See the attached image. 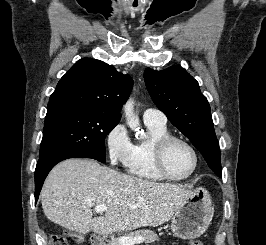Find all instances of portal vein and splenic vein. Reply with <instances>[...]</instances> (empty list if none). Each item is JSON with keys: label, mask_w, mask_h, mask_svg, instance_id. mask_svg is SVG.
<instances>
[{"label": "portal vein and splenic vein", "mask_w": 266, "mask_h": 245, "mask_svg": "<svg viewBox=\"0 0 266 245\" xmlns=\"http://www.w3.org/2000/svg\"><path fill=\"white\" fill-rule=\"evenodd\" d=\"M129 209H133L132 205ZM95 213H104L107 211L106 205H96L94 209ZM145 239L143 237H119L118 243L119 245H135V243H143Z\"/></svg>", "instance_id": "obj_1"}]
</instances>
